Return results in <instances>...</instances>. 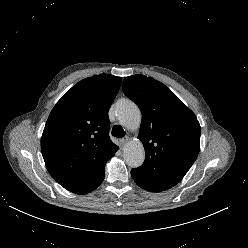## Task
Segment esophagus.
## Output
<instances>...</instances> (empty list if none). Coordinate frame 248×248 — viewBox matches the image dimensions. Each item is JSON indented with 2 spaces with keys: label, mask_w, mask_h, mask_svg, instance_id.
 I'll list each match as a JSON object with an SVG mask.
<instances>
[{
  "label": "esophagus",
  "mask_w": 248,
  "mask_h": 248,
  "mask_svg": "<svg viewBox=\"0 0 248 248\" xmlns=\"http://www.w3.org/2000/svg\"><path fill=\"white\" fill-rule=\"evenodd\" d=\"M128 141H129V137L121 138L120 139V146L124 147Z\"/></svg>",
  "instance_id": "34e87169"
}]
</instances>
